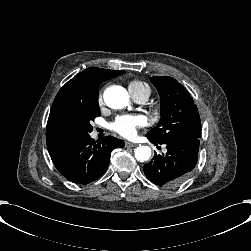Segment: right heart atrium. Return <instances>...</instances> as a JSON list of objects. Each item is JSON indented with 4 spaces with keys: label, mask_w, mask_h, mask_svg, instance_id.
Returning <instances> with one entry per match:
<instances>
[{
    "label": "right heart atrium",
    "mask_w": 251,
    "mask_h": 251,
    "mask_svg": "<svg viewBox=\"0 0 251 251\" xmlns=\"http://www.w3.org/2000/svg\"><path fill=\"white\" fill-rule=\"evenodd\" d=\"M103 93H104V90L102 88H100L98 90V94H97V100H98L99 105H101L103 103Z\"/></svg>",
    "instance_id": "obj_1"
}]
</instances>
